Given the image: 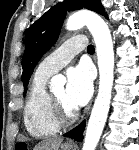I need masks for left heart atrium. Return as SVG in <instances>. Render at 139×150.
<instances>
[{
  "mask_svg": "<svg viewBox=\"0 0 139 150\" xmlns=\"http://www.w3.org/2000/svg\"><path fill=\"white\" fill-rule=\"evenodd\" d=\"M93 93V73L89 66L79 64L67 73L66 99L71 107L84 106Z\"/></svg>",
  "mask_w": 139,
  "mask_h": 150,
  "instance_id": "39dd6f15",
  "label": "left heart atrium"
}]
</instances>
